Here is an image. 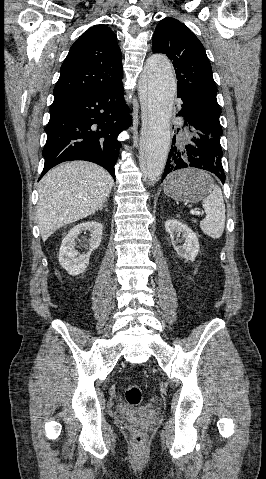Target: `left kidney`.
Instances as JSON below:
<instances>
[{
  "instance_id": "1",
  "label": "left kidney",
  "mask_w": 266,
  "mask_h": 479,
  "mask_svg": "<svg viewBox=\"0 0 266 479\" xmlns=\"http://www.w3.org/2000/svg\"><path fill=\"white\" fill-rule=\"evenodd\" d=\"M165 229L172 240L175 233L182 234L185 243L177 249L181 248L180 254L186 261H194L199 252V241L196 234L187 225L173 219L165 222Z\"/></svg>"
}]
</instances>
